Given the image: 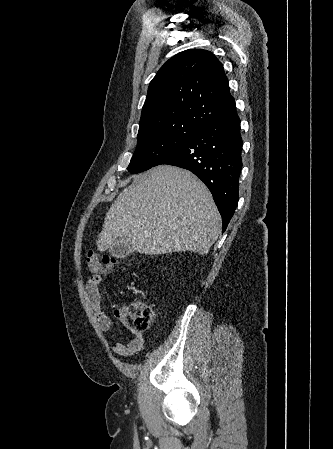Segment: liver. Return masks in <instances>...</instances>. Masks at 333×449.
<instances>
[{"mask_svg":"<svg viewBox=\"0 0 333 449\" xmlns=\"http://www.w3.org/2000/svg\"><path fill=\"white\" fill-rule=\"evenodd\" d=\"M220 229L221 216L205 184L190 171L160 165L133 175L106 214L97 249L105 252L119 237L139 253L204 255Z\"/></svg>","mask_w":333,"mask_h":449,"instance_id":"obj_1","label":"liver"}]
</instances>
